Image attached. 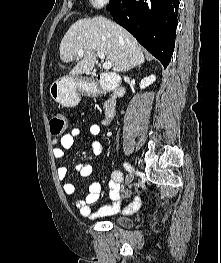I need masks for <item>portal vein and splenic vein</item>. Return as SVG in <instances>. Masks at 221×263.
Returning a JSON list of instances; mask_svg holds the SVG:
<instances>
[{
    "label": "portal vein and splenic vein",
    "mask_w": 221,
    "mask_h": 263,
    "mask_svg": "<svg viewBox=\"0 0 221 263\" xmlns=\"http://www.w3.org/2000/svg\"><path fill=\"white\" fill-rule=\"evenodd\" d=\"M84 49H80L79 51H78V56L79 57H82L83 56V53H84ZM96 55L101 59V60H103L104 61V59H105V55L101 52V51H96ZM112 67V63L110 62V61H104L103 62V68L104 69H106V70H108V69H110Z\"/></svg>",
    "instance_id": "18ae733b"
}]
</instances>
